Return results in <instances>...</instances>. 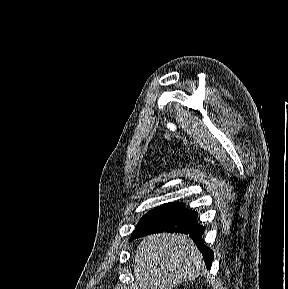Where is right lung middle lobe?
<instances>
[{"label":"right lung middle lobe","mask_w":288,"mask_h":289,"mask_svg":"<svg viewBox=\"0 0 288 289\" xmlns=\"http://www.w3.org/2000/svg\"><path fill=\"white\" fill-rule=\"evenodd\" d=\"M178 203L173 202V203H168L165 205H162L160 207H157L151 211H149L147 214H145L141 220L139 221L138 225L136 226V229L133 233L135 235L137 232L145 228L148 224H150L152 221L163 215L164 213L168 212L171 210L174 206H176ZM132 235V236H133Z\"/></svg>","instance_id":"obj_1"}]
</instances>
